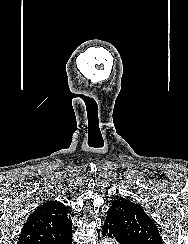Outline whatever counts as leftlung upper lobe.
<instances>
[{"label": "left lung upper lobe", "instance_id": "left-lung-upper-lobe-1", "mask_svg": "<svg viewBox=\"0 0 188 244\" xmlns=\"http://www.w3.org/2000/svg\"><path fill=\"white\" fill-rule=\"evenodd\" d=\"M115 218L122 234L132 244H162L157 226L138 204L117 198L108 212Z\"/></svg>", "mask_w": 188, "mask_h": 244}]
</instances>
